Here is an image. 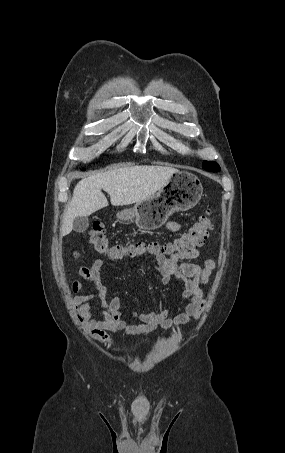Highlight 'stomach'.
Listing matches in <instances>:
<instances>
[{
	"mask_svg": "<svg viewBox=\"0 0 285 453\" xmlns=\"http://www.w3.org/2000/svg\"><path fill=\"white\" fill-rule=\"evenodd\" d=\"M202 193L203 187L197 176L178 171L156 195L136 203L133 208L118 212L117 218L124 222H135L143 230H154L165 224L174 212L193 208Z\"/></svg>",
	"mask_w": 285,
	"mask_h": 453,
	"instance_id": "0dacf381",
	"label": "stomach"
}]
</instances>
